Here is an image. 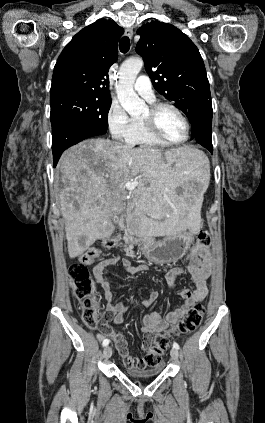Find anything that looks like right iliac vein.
Listing matches in <instances>:
<instances>
[{"label": "right iliac vein", "instance_id": "right-iliac-vein-1", "mask_svg": "<svg viewBox=\"0 0 265 423\" xmlns=\"http://www.w3.org/2000/svg\"><path fill=\"white\" fill-rule=\"evenodd\" d=\"M103 354L105 359H109L112 355V348L110 346H106L103 350Z\"/></svg>", "mask_w": 265, "mask_h": 423}]
</instances>
